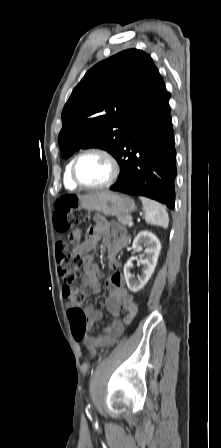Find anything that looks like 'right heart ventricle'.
<instances>
[{
  "label": "right heart ventricle",
  "mask_w": 221,
  "mask_h": 448,
  "mask_svg": "<svg viewBox=\"0 0 221 448\" xmlns=\"http://www.w3.org/2000/svg\"><path fill=\"white\" fill-rule=\"evenodd\" d=\"M74 158L75 157H73L68 162V164L66 165V168H65V171H64V176H63L64 186L67 189H70V190H74L76 188H79V186H77L76 184L73 183V181L71 180V177H70V169H71V165H72V162H73Z\"/></svg>",
  "instance_id": "1"
}]
</instances>
